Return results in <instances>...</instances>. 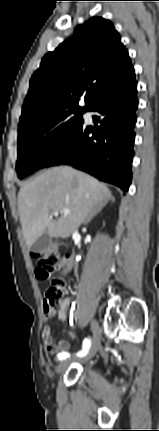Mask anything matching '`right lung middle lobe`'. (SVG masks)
I'll list each match as a JSON object with an SVG mask.
<instances>
[{
    "label": "right lung middle lobe",
    "mask_w": 159,
    "mask_h": 431,
    "mask_svg": "<svg viewBox=\"0 0 159 431\" xmlns=\"http://www.w3.org/2000/svg\"><path fill=\"white\" fill-rule=\"evenodd\" d=\"M84 112L66 111L19 130L18 177L23 178L44 168L57 149L82 125Z\"/></svg>",
    "instance_id": "obj_1"
}]
</instances>
